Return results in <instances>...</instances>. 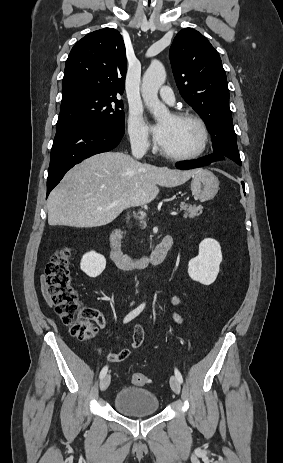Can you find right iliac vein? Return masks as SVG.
Instances as JSON below:
<instances>
[{
  "mask_svg": "<svg viewBox=\"0 0 283 463\" xmlns=\"http://www.w3.org/2000/svg\"><path fill=\"white\" fill-rule=\"evenodd\" d=\"M110 381H111V377H110L109 374L105 375L101 379V381H100V389H101V391H105L108 388V386L110 384Z\"/></svg>",
  "mask_w": 283,
  "mask_h": 463,
  "instance_id": "1",
  "label": "right iliac vein"
}]
</instances>
